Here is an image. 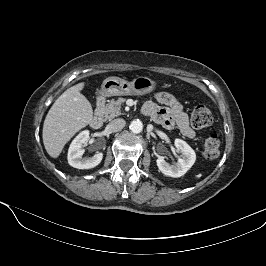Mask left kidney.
Wrapping results in <instances>:
<instances>
[{
  "instance_id": "5707ae66",
  "label": "left kidney",
  "mask_w": 266,
  "mask_h": 266,
  "mask_svg": "<svg viewBox=\"0 0 266 266\" xmlns=\"http://www.w3.org/2000/svg\"><path fill=\"white\" fill-rule=\"evenodd\" d=\"M176 148L182 153L174 165H170L160 156L157 160L158 169L166 176L178 178L183 176L195 163V151L183 140L175 139Z\"/></svg>"
}]
</instances>
